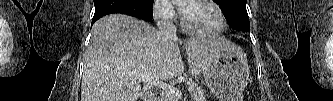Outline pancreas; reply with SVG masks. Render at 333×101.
<instances>
[{"label": "pancreas", "instance_id": "obj_1", "mask_svg": "<svg viewBox=\"0 0 333 101\" xmlns=\"http://www.w3.org/2000/svg\"><path fill=\"white\" fill-rule=\"evenodd\" d=\"M192 91L193 101H207L205 91L198 86H194ZM161 101H178V97L166 93L161 96Z\"/></svg>", "mask_w": 333, "mask_h": 101}]
</instances>
